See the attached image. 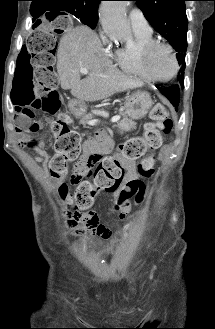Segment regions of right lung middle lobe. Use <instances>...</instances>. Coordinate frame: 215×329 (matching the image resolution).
<instances>
[{"mask_svg":"<svg viewBox=\"0 0 215 329\" xmlns=\"http://www.w3.org/2000/svg\"><path fill=\"white\" fill-rule=\"evenodd\" d=\"M63 9V13L61 14H66V13H70L73 14L75 17H77L82 23L88 25L89 27H91L92 29H94L97 25L96 20H92L89 19L86 15H85V10L83 8V6L80 5H74V4H68V5H63L62 6ZM57 15V14H56Z\"/></svg>","mask_w":215,"mask_h":329,"instance_id":"dd1d6c3e","label":"right lung middle lobe"}]
</instances>
